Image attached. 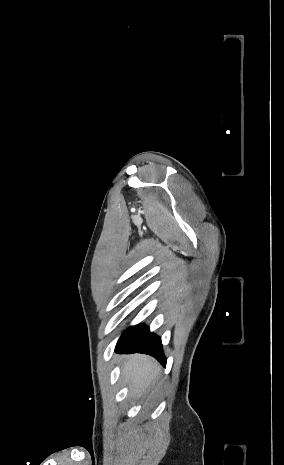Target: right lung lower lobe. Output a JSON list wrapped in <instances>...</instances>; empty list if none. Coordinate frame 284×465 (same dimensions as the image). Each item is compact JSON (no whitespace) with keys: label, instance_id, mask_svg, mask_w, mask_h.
I'll list each match as a JSON object with an SVG mask.
<instances>
[{"label":"right lung lower lobe","instance_id":"right-lung-lower-lobe-1","mask_svg":"<svg viewBox=\"0 0 284 465\" xmlns=\"http://www.w3.org/2000/svg\"><path fill=\"white\" fill-rule=\"evenodd\" d=\"M116 352L119 353H145L155 357L163 366L166 364V358L163 354L161 339L149 328L139 324L128 328L121 335L117 345Z\"/></svg>","mask_w":284,"mask_h":465}]
</instances>
